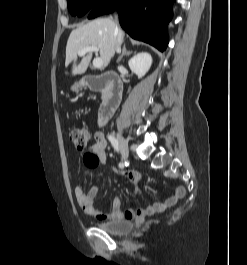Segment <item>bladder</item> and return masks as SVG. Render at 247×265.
<instances>
[{
	"instance_id": "1",
	"label": "bladder",
	"mask_w": 247,
	"mask_h": 265,
	"mask_svg": "<svg viewBox=\"0 0 247 265\" xmlns=\"http://www.w3.org/2000/svg\"><path fill=\"white\" fill-rule=\"evenodd\" d=\"M95 226L113 235L129 234L133 229V224L128 219L97 222Z\"/></svg>"
}]
</instances>
